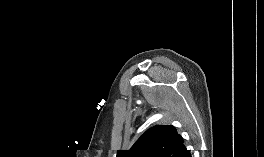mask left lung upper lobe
I'll list each match as a JSON object with an SVG mask.
<instances>
[{
	"label": "left lung upper lobe",
	"instance_id": "1",
	"mask_svg": "<svg viewBox=\"0 0 264 157\" xmlns=\"http://www.w3.org/2000/svg\"><path fill=\"white\" fill-rule=\"evenodd\" d=\"M117 157H191L174 126L157 125L148 129L129 150H118Z\"/></svg>",
	"mask_w": 264,
	"mask_h": 157
}]
</instances>
